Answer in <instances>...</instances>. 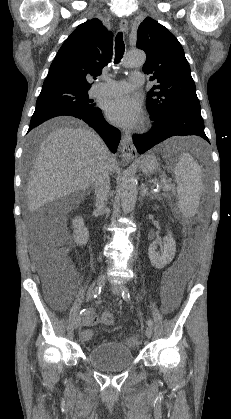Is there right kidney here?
Segmentation results:
<instances>
[{"mask_svg":"<svg viewBox=\"0 0 231 419\" xmlns=\"http://www.w3.org/2000/svg\"><path fill=\"white\" fill-rule=\"evenodd\" d=\"M74 228L73 238L77 245L82 246L87 244L89 240L88 229L84 225V220L82 217H76L72 221Z\"/></svg>","mask_w":231,"mask_h":419,"instance_id":"right-kidney-1","label":"right kidney"}]
</instances>
